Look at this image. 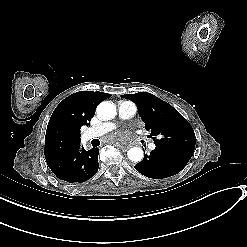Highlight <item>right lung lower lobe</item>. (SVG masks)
Wrapping results in <instances>:
<instances>
[{
  "instance_id": "obj_1",
  "label": "right lung lower lobe",
  "mask_w": 247,
  "mask_h": 247,
  "mask_svg": "<svg viewBox=\"0 0 247 247\" xmlns=\"http://www.w3.org/2000/svg\"><path fill=\"white\" fill-rule=\"evenodd\" d=\"M99 149L89 151L80 148V142L59 154L46 158V162L57 178L82 183L93 177L98 171Z\"/></svg>"
}]
</instances>
